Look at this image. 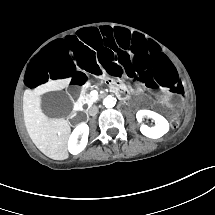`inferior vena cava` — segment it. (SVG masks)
Here are the masks:
<instances>
[{"instance_id":"inferior-vena-cava-1","label":"inferior vena cava","mask_w":215,"mask_h":215,"mask_svg":"<svg viewBox=\"0 0 215 215\" xmlns=\"http://www.w3.org/2000/svg\"><path fill=\"white\" fill-rule=\"evenodd\" d=\"M88 113L90 116H95L98 113V107L95 105L89 107Z\"/></svg>"}]
</instances>
